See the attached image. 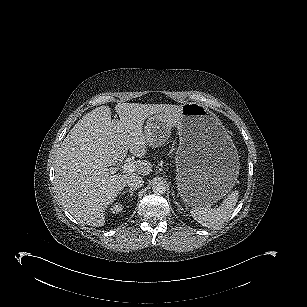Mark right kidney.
I'll list each match as a JSON object with an SVG mask.
<instances>
[{
	"instance_id": "right-kidney-1",
	"label": "right kidney",
	"mask_w": 307,
	"mask_h": 307,
	"mask_svg": "<svg viewBox=\"0 0 307 307\" xmlns=\"http://www.w3.org/2000/svg\"><path fill=\"white\" fill-rule=\"evenodd\" d=\"M123 210V207H122V205L121 204H118V203H116V204H114L111 208H110V211H111V213H119V212H121Z\"/></svg>"
}]
</instances>
